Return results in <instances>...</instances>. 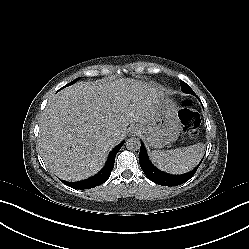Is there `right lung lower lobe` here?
Here are the masks:
<instances>
[{
    "mask_svg": "<svg viewBox=\"0 0 249 249\" xmlns=\"http://www.w3.org/2000/svg\"><path fill=\"white\" fill-rule=\"evenodd\" d=\"M123 144L124 141H122L116 148H114L113 151H111L104 168L98 174L89 179L71 185L77 189H90L103 184L110 177L111 171L114 167L116 154Z\"/></svg>",
    "mask_w": 249,
    "mask_h": 249,
    "instance_id": "1",
    "label": "right lung lower lobe"
}]
</instances>
